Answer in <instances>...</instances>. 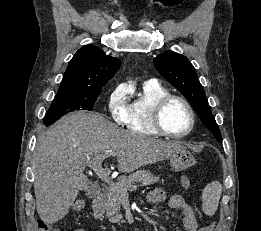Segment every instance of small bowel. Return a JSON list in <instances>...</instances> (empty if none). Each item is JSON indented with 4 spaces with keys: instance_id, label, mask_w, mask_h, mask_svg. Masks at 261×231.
Returning a JSON list of instances; mask_svg holds the SVG:
<instances>
[{
    "instance_id": "c3829d8e",
    "label": "small bowel",
    "mask_w": 261,
    "mask_h": 231,
    "mask_svg": "<svg viewBox=\"0 0 261 231\" xmlns=\"http://www.w3.org/2000/svg\"><path fill=\"white\" fill-rule=\"evenodd\" d=\"M183 188L190 187V180L186 175L180 178ZM166 200V194L161 189H156L148 195V201L151 204H158ZM168 205L171 209L179 211L183 215L184 231H213L211 226H200L195 216L191 204L180 195H173L168 200ZM73 231H86L83 228L74 229Z\"/></svg>"
}]
</instances>
